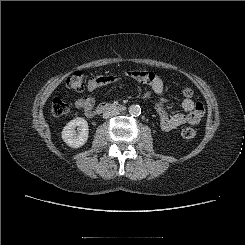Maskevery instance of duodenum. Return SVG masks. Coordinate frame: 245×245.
I'll return each instance as SVG.
<instances>
[{"label":"duodenum","instance_id":"duodenum-1","mask_svg":"<svg viewBox=\"0 0 245 245\" xmlns=\"http://www.w3.org/2000/svg\"><path fill=\"white\" fill-rule=\"evenodd\" d=\"M126 105L116 102H103L93 109L92 115H99L106 111L124 112Z\"/></svg>","mask_w":245,"mask_h":245}]
</instances>
